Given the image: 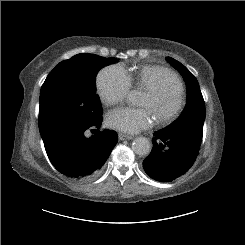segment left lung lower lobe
Instances as JSON below:
<instances>
[{
	"instance_id": "obj_1",
	"label": "left lung lower lobe",
	"mask_w": 245,
	"mask_h": 245,
	"mask_svg": "<svg viewBox=\"0 0 245 245\" xmlns=\"http://www.w3.org/2000/svg\"><path fill=\"white\" fill-rule=\"evenodd\" d=\"M154 136L152 151L143 161L147 175L160 182H170L184 175L195 162L200 144L162 131L156 132Z\"/></svg>"
}]
</instances>
